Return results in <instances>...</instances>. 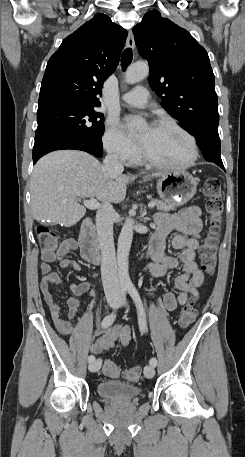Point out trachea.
Wrapping results in <instances>:
<instances>
[{"instance_id": "1", "label": "trachea", "mask_w": 245, "mask_h": 457, "mask_svg": "<svg viewBox=\"0 0 245 457\" xmlns=\"http://www.w3.org/2000/svg\"><path fill=\"white\" fill-rule=\"evenodd\" d=\"M132 58H133V53H132L131 48H126V50H124V52L122 53V56H121L122 70H126V68L132 62Z\"/></svg>"}]
</instances>
